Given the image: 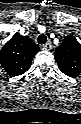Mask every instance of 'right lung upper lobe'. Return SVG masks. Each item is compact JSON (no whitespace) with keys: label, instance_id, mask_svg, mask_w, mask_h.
<instances>
[{"label":"right lung upper lobe","instance_id":"obj_1","mask_svg":"<svg viewBox=\"0 0 81 124\" xmlns=\"http://www.w3.org/2000/svg\"><path fill=\"white\" fill-rule=\"evenodd\" d=\"M39 50L32 39L16 33L1 49L0 64L8 75H21L29 70Z\"/></svg>","mask_w":81,"mask_h":124}]
</instances>
